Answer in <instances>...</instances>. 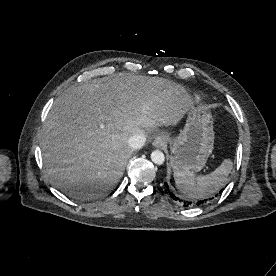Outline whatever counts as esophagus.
Instances as JSON below:
<instances>
[{"instance_id":"obj_1","label":"esophagus","mask_w":276,"mask_h":276,"mask_svg":"<svg viewBox=\"0 0 276 276\" xmlns=\"http://www.w3.org/2000/svg\"><path fill=\"white\" fill-rule=\"evenodd\" d=\"M166 142H167L166 136L165 135H159L153 141V145L156 148H161V147L165 146Z\"/></svg>"}]
</instances>
